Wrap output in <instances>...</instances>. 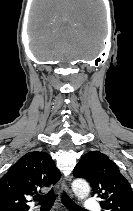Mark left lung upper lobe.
<instances>
[{"label": "left lung upper lobe", "mask_w": 133, "mask_h": 211, "mask_svg": "<svg viewBox=\"0 0 133 211\" xmlns=\"http://www.w3.org/2000/svg\"><path fill=\"white\" fill-rule=\"evenodd\" d=\"M75 178H85L104 211H133V192L117 165L99 151L84 154L74 168Z\"/></svg>", "instance_id": "left-lung-upper-lobe-1"}]
</instances>
